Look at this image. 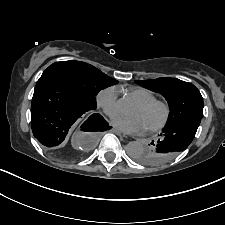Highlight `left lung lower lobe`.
<instances>
[{
  "mask_svg": "<svg viewBox=\"0 0 225 225\" xmlns=\"http://www.w3.org/2000/svg\"><path fill=\"white\" fill-rule=\"evenodd\" d=\"M201 118L191 117L164 127L148 156V165H162L184 151L195 137ZM159 136V135H158Z\"/></svg>",
  "mask_w": 225,
  "mask_h": 225,
  "instance_id": "left-lung-lower-lobe-1",
  "label": "left lung lower lobe"
}]
</instances>
